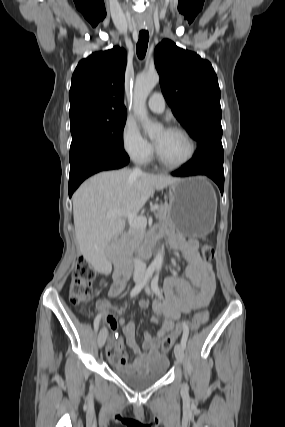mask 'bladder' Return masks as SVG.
Returning <instances> with one entry per match:
<instances>
[{
    "label": "bladder",
    "instance_id": "31cf9c89",
    "mask_svg": "<svg viewBox=\"0 0 285 427\" xmlns=\"http://www.w3.org/2000/svg\"><path fill=\"white\" fill-rule=\"evenodd\" d=\"M167 368V362L150 370L133 372L123 367L115 368L116 375L129 387L135 390L146 389L163 377Z\"/></svg>",
    "mask_w": 285,
    "mask_h": 427
}]
</instances>
